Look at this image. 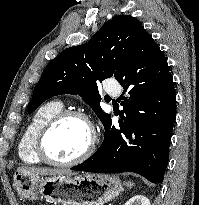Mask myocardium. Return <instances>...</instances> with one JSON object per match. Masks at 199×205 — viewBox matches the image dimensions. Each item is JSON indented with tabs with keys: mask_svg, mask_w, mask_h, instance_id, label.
I'll return each instance as SVG.
<instances>
[{
	"mask_svg": "<svg viewBox=\"0 0 199 205\" xmlns=\"http://www.w3.org/2000/svg\"><path fill=\"white\" fill-rule=\"evenodd\" d=\"M67 118H77L86 124L89 130V142L84 151L75 158L69 160H57L48 154L46 150V139L53 128ZM95 146L96 132L94 126L85 113L77 110H61L56 113L40 128L35 139V153L39 159L46 164L59 167L73 166L86 160L93 154Z\"/></svg>",
	"mask_w": 199,
	"mask_h": 205,
	"instance_id": "1",
	"label": "myocardium"
}]
</instances>
